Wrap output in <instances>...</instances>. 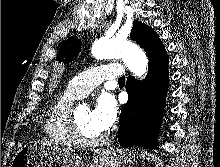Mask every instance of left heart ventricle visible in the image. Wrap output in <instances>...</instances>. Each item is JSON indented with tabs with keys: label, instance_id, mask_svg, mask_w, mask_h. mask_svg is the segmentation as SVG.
<instances>
[{
	"label": "left heart ventricle",
	"instance_id": "obj_1",
	"mask_svg": "<svg viewBox=\"0 0 220 167\" xmlns=\"http://www.w3.org/2000/svg\"><path fill=\"white\" fill-rule=\"evenodd\" d=\"M76 116L80 132L85 139H96L103 135L92 123L90 110L85 105H79L76 108Z\"/></svg>",
	"mask_w": 220,
	"mask_h": 167
}]
</instances>
